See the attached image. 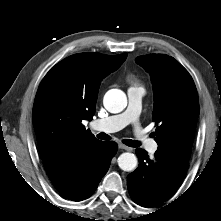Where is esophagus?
I'll list each match as a JSON object with an SVG mask.
<instances>
[{
  "mask_svg": "<svg viewBox=\"0 0 221 221\" xmlns=\"http://www.w3.org/2000/svg\"><path fill=\"white\" fill-rule=\"evenodd\" d=\"M118 147L120 148V149H123V150H126V151H132V148L131 147H128V146H126V145H124V144H119L118 145Z\"/></svg>",
  "mask_w": 221,
  "mask_h": 221,
  "instance_id": "obj_1",
  "label": "esophagus"
}]
</instances>
